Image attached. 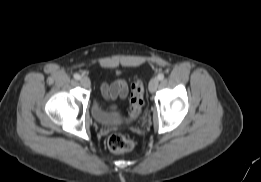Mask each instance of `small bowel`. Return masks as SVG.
Segmentation results:
<instances>
[{
    "label": "small bowel",
    "instance_id": "small-bowel-1",
    "mask_svg": "<svg viewBox=\"0 0 261 182\" xmlns=\"http://www.w3.org/2000/svg\"><path fill=\"white\" fill-rule=\"evenodd\" d=\"M101 94L105 100L125 99L128 95L127 84L120 79L104 83L101 86Z\"/></svg>",
    "mask_w": 261,
    "mask_h": 182
}]
</instances>
